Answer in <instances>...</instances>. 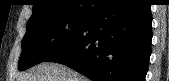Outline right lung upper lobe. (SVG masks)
<instances>
[{
	"label": "right lung upper lobe",
	"mask_w": 169,
	"mask_h": 81,
	"mask_svg": "<svg viewBox=\"0 0 169 81\" xmlns=\"http://www.w3.org/2000/svg\"><path fill=\"white\" fill-rule=\"evenodd\" d=\"M109 0H34L28 23L52 16H90Z\"/></svg>",
	"instance_id": "1"
}]
</instances>
